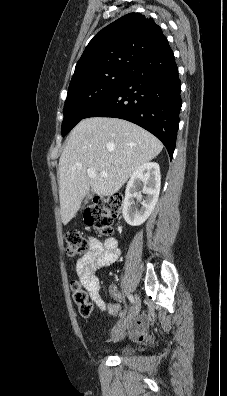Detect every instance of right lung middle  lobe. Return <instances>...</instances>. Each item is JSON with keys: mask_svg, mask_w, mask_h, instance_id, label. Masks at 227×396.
I'll return each mask as SVG.
<instances>
[{"mask_svg": "<svg viewBox=\"0 0 227 396\" xmlns=\"http://www.w3.org/2000/svg\"><path fill=\"white\" fill-rule=\"evenodd\" d=\"M131 71L111 69L70 86L64 105L62 136H65L79 121L84 119L94 107L113 94L127 79Z\"/></svg>", "mask_w": 227, "mask_h": 396, "instance_id": "right-lung-middle-lobe-1", "label": "right lung middle lobe"}]
</instances>
